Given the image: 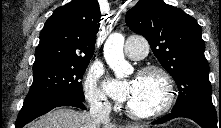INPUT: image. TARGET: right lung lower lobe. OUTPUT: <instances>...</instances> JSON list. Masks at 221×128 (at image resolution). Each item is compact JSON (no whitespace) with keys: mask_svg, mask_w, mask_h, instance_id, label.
I'll use <instances>...</instances> for the list:
<instances>
[{"mask_svg":"<svg viewBox=\"0 0 221 128\" xmlns=\"http://www.w3.org/2000/svg\"><path fill=\"white\" fill-rule=\"evenodd\" d=\"M82 100L67 96L55 95L35 102L23 104L16 120L15 128H22L35 118L59 106H74L86 110Z\"/></svg>","mask_w":221,"mask_h":128,"instance_id":"obj_1","label":"right lung lower lobe"}]
</instances>
